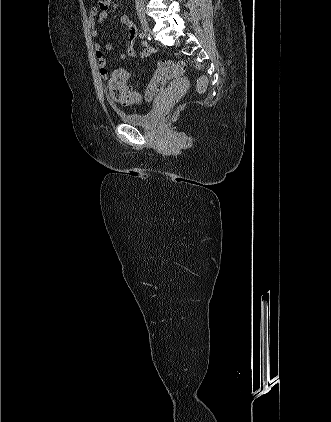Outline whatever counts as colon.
Masks as SVG:
<instances>
[{"mask_svg": "<svg viewBox=\"0 0 331 422\" xmlns=\"http://www.w3.org/2000/svg\"><path fill=\"white\" fill-rule=\"evenodd\" d=\"M185 64L181 61H161L157 67V76L159 80L172 79L183 75ZM129 73L124 69H117L110 74L108 80V89L110 96L120 102L132 100L138 101L139 95L135 93L128 84ZM207 86V80L200 78L197 82V91L202 93Z\"/></svg>", "mask_w": 331, "mask_h": 422, "instance_id": "colon-1", "label": "colon"}]
</instances>
